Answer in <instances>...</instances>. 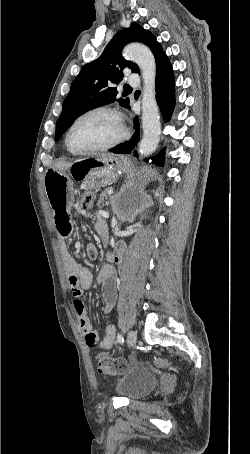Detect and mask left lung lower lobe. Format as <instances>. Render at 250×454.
Segmentation results:
<instances>
[{
	"mask_svg": "<svg viewBox=\"0 0 250 454\" xmlns=\"http://www.w3.org/2000/svg\"><path fill=\"white\" fill-rule=\"evenodd\" d=\"M155 88L158 105L165 121H167L175 106V98L173 70L166 54L163 55L156 63ZM134 124L136 131L131 140L112 148L111 151L113 153L129 154L134 149L139 140V122L137 117L134 120ZM134 156L138 157L136 151H134ZM150 159L152 160V163L163 166L164 150Z\"/></svg>",
	"mask_w": 250,
	"mask_h": 454,
	"instance_id": "1",
	"label": "left lung lower lobe"
}]
</instances>
